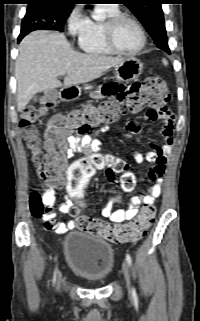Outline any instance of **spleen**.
Instances as JSON below:
<instances>
[{"mask_svg":"<svg viewBox=\"0 0 200 321\" xmlns=\"http://www.w3.org/2000/svg\"><path fill=\"white\" fill-rule=\"evenodd\" d=\"M162 63H163V65H165V66L168 65V61H167L166 59H164V58L162 59Z\"/></svg>","mask_w":200,"mask_h":321,"instance_id":"1","label":"spleen"}]
</instances>
